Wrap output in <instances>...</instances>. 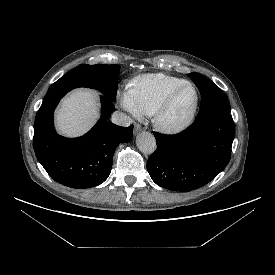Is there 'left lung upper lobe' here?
Segmentation results:
<instances>
[{
    "instance_id": "5c2ea615",
    "label": "left lung upper lobe",
    "mask_w": 275,
    "mask_h": 275,
    "mask_svg": "<svg viewBox=\"0 0 275 275\" xmlns=\"http://www.w3.org/2000/svg\"><path fill=\"white\" fill-rule=\"evenodd\" d=\"M189 77L200 89L202 95L201 106L197 117L230 113L229 102L223 91L217 85L199 73H190Z\"/></svg>"
}]
</instances>
